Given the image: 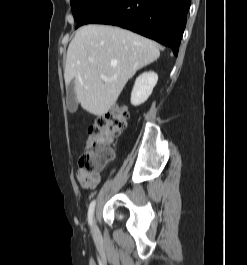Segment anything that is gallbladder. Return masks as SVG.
<instances>
[{
  "label": "gallbladder",
  "instance_id": "obj_1",
  "mask_svg": "<svg viewBox=\"0 0 247 265\" xmlns=\"http://www.w3.org/2000/svg\"><path fill=\"white\" fill-rule=\"evenodd\" d=\"M67 105L70 112H74L76 110L77 101L73 82L67 86Z\"/></svg>",
  "mask_w": 247,
  "mask_h": 265
}]
</instances>
